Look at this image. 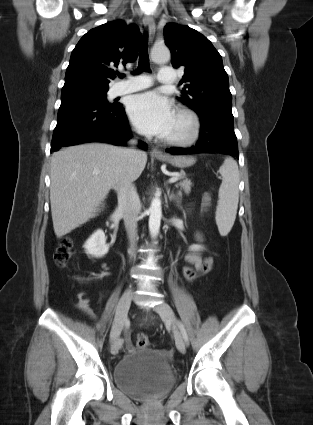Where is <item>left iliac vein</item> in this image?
I'll return each mask as SVG.
<instances>
[{"instance_id": "obj_1", "label": "left iliac vein", "mask_w": 313, "mask_h": 425, "mask_svg": "<svg viewBox=\"0 0 313 425\" xmlns=\"http://www.w3.org/2000/svg\"><path fill=\"white\" fill-rule=\"evenodd\" d=\"M154 309L162 317L163 321L166 324L172 326L176 347L180 352H184L186 348L185 341L177 326L176 318L171 307L167 303L162 302L159 305L155 306Z\"/></svg>"}]
</instances>
